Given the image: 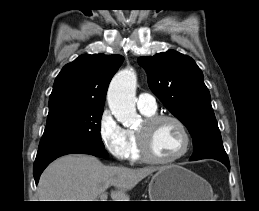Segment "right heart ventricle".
<instances>
[{
  "label": "right heart ventricle",
  "mask_w": 259,
  "mask_h": 211,
  "mask_svg": "<svg viewBox=\"0 0 259 211\" xmlns=\"http://www.w3.org/2000/svg\"><path fill=\"white\" fill-rule=\"evenodd\" d=\"M143 115L146 117L154 115V112H145L141 111ZM128 135V140H129V153H128V158H130L134 162H140L142 161V158L139 153L138 149V142H137V137H136V132L133 130H128L127 131Z\"/></svg>",
  "instance_id": "right-heart-ventricle-1"
}]
</instances>
